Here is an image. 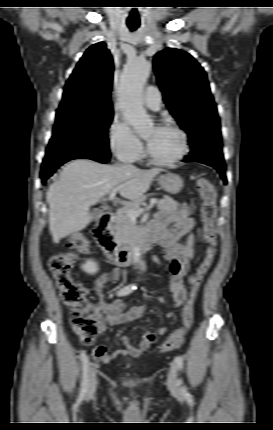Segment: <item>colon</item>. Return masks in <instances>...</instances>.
Returning a JSON list of instances; mask_svg holds the SVG:
<instances>
[{"mask_svg": "<svg viewBox=\"0 0 273 430\" xmlns=\"http://www.w3.org/2000/svg\"><path fill=\"white\" fill-rule=\"evenodd\" d=\"M197 189L202 199L200 216L203 223V237L208 247L194 275L189 297L183 308V326L171 333L163 342L159 348L162 353L177 348L182 343L188 329L192 326L197 293L204 277L212 266L216 254L217 194L214 186L205 178L198 180ZM67 246L72 250L83 253L88 248V241L83 236L74 234L67 240ZM75 257L72 252H59L50 257L48 266L64 304L71 308L73 330L84 344L90 345L95 341L98 333L97 311L88 302L86 289L71 274V267Z\"/></svg>", "mask_w": 273, "mask_h": 430, "instance_id": "5ec220e1", "label": "colon"}]
</instances>
